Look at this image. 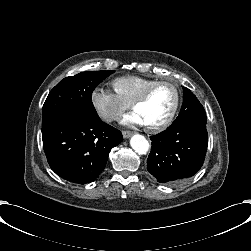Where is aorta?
I'll return each instance as SVG.
<instances>
[{"mask_svg": "<svg viewBox=\"0 0 251 251\" xmlns=\"http://www.w3.org/2000/svg\"><path fill=\"white\" fill-rule=\"evenodd\" d=\"M130 146L139 154H145L149 148L147 139L141 134H134L130 138Z\"/></svg>", "mask_w": 251, "mask_h": 251, "instance_id": "1", "label": "aorta"}]
</instances>
